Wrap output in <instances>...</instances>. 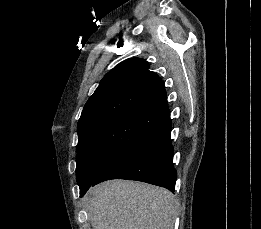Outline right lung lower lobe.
<instances>
[{"instance_id":"98d812e1","label":"right lung lower lobe","mask_w":261,"mask_h":229,"mask_svg":"<svg viewBox=\"0 0 261 229\" xmlns=\"http://www.w3.org/2000/svg\"><path fill=\"white\" fill-rule=\"evenodd\" d=\"M170 131L171 120L168 117L149 136L105 168L91 186L108 179H128L174 191L177 173L172 162L174 149Z\"/></svg>"}]
</instances>
